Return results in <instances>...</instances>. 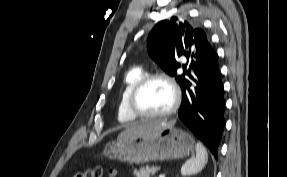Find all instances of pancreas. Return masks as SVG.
I'll return each instance as SVG.
<instances>
[{
    "label": "pancreas",
    "instance_id": "cf45deb5",
    "mask_svg": "<svg viewBox=\"0 0 287 177\" xmlns=\"http://www.w3.org/2000/svg\"><path fill=\"white\" fill-rule=\"evenodd\" d=\"M159 170L158 167H142L139 170H134L133 174L136 177H150L153 176Z\"/></svg>",
    "mask_w": 287,
    "mask_h": 177
}]
</instances>
